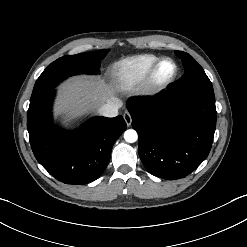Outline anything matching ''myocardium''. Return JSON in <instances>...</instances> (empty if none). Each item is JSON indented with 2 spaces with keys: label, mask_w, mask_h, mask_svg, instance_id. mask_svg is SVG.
<instances>
[{
  "label": "myocardium",
  "mask_w": 247,
  "mask_h": 247,
  "mask_svg": "<svg viewBox=\"0 0 247 247\" xmlns=\"http://www.w3.org/2000/svg\"><path fill=\"white\" fill-rule=\"evenodd\" d=\"M164 61H171L175 65V72L170 77L168 80L164 82H158L156 80V73L159 68V66L164 62ZM180 72V68L178 63L171 57H162L160 58L150 69L147 77L144 80L143 86H142V91L146 95H156L164 90L168 89L178 78Z\"/></svg>",
  "instance_id": "f54148a6"
}]
</instances>
